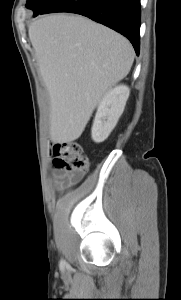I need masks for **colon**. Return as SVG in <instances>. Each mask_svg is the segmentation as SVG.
Returning a JSON list of instances; mask_svg holds the SVG:
<instances>
[{"instance_id":"obj_1","label":"colon","mask_w":181,"mask_h":300,"mask_svg":"<svg viewBox=\"0 0 181 300\" xmlns=\"http://www.w3.org/2000/svg\"><path fill=\"white\" fill-rule=\"evenodd\" d=\"M51 153L55 167L67 171L73 177H80L88 170L89 159L77 142H57L52 146Z\"/></svg>"}]
</instances>
